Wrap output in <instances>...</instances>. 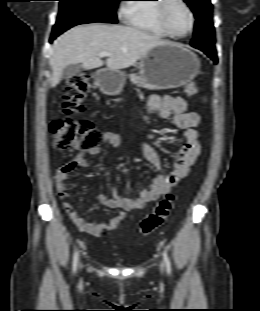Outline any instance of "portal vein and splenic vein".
Segmentation results:
<instances>
[{
    "mask_svg": "<svg viewBox=\"0 0 260 311\" xmlns=\"http://www.w3.org/2000/svg\"><path fill=\"white\" fill-rule=\"evenodd\" d=\"M113 54L112 53H109V52H101L98 54L99 57H109V56H112Z\"/></svg>",
    "mask_w": 260,
    "mask_h": 311,
    "instance_id": "18ae733b",
    "label": "portal vein and splenic vein"
}]
</instances>
